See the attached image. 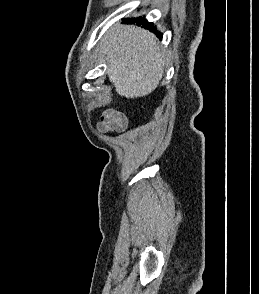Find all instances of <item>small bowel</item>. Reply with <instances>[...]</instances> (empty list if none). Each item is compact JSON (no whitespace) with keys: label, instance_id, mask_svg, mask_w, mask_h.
I'll return each instance as SVG.
<instances>
[{"label":"small bowel","instance_id":"1","mask_svg":"<svg viewBox=\"0 0 259 294\" xmlns=\"http://www.w3.org/2000/svg\"><path fill=\"white\" fill-rule=\"evenodd\" d=\"M125 116L115 110H107L103 112L97 128L100 132L106 133L108 131L121 132L126 127Z\"/></svg>","mask_w":259,"mask_h":294}]
</instances>
